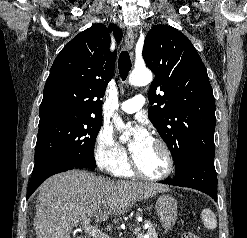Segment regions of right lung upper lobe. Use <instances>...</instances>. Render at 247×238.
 I'll list each match as a JSON object with an SVG mask.
<instances>
[{"instance_id":"right-lung-upper-lobe-1","label":"right lung upper lobe","mask_w":247,"mask_h":238,"mask_svg":"<svg viewBox=\"0 0 247 238\" xmlns=\"http://www.w3.org/2000/svg\"><path fill=\"white\" fill-rule=\"evenodd\" d=\"M116 25L93 24L75 36L57 55L46 81L39 124L67 119L101 117L102 101L114 74L116 52H110L109 32Z\"/></svg>"}]
</instances>
